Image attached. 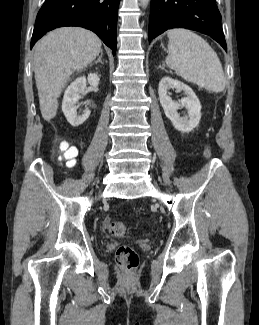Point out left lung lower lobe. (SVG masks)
<instances>
[{"mask_svg": "<svg viewBox=\"0 0 259 325\" xmlns=\"http://www.w3.org/2000/svg\"><path fill=\"white\" fill-rule=\"evenodd\" d=\"M172 28L207 34L227 51L215 0H151L149 41Z\"/></svg>", "mask_w": 259, "mask_h": 325, "instance_id": "0a47b994", "label": "left lung lower lobe"}]
</instances>
